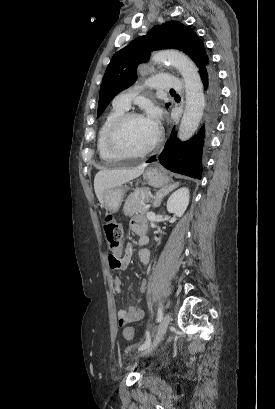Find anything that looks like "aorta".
<instances>
[{
  "label": "aorta",
  "instance_id": "762f6f07",
  "mask_svg": "<svg viewBox=\"0 0 275 409\" xmlns=\"http://www.w3.org/2000/svg\"><path fill=\"white\" fill-rule=\"evenodd\" d=\"M155 62H168L182 74L185 82L186 106L178 130L180 140H188L199 126L205 106L200 74L193 60L178 50H161L152 56Z\"/></svg>",
  "mask_w": 275,
  "mask_h": 409
}]
</instances>
